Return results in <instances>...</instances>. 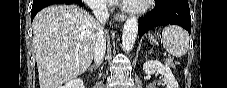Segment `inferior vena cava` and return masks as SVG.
Here are the masks:
<instances>
[{
    "instance_id": "602c4592",
    "label": "inferior vena cava",
    "mask_w": 227,
    "mask_h": 88,
    "mask_svg": "<svg viewBox=\"0 0 227 88\" xmlns=\"http://www.w3.org/2000/svg\"><path fill=\"white\" fill-rule=\"evenodd\" d=\"M91 9L97 20L104 24L109 18L107 4L105 0H100L91 4ZM106 51V40L104 37L103 29H101L96 36V43L94 48V62L96 66H99L103 61Z\"/></svg>"
}]
</instances>
